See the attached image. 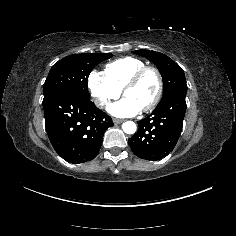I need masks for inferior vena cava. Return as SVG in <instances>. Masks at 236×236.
<instances>
[{
  "label": "inferior vena cava",
  "mask_w": 236,
  "mask_h": 236,
  "mask_svg": "<svg viewBox=\"0 0 236 236\" xmlns=\"http://www.w3.org/2000/svg\"><path fill=\"white\" fill-rule=\"evenodd\" d=\"M95 104L97 107L104 106L105 100L104 99H95Z\"/></svg>",
  "instance_id": "inferior-vena-cava-1"
}]
</instances>
